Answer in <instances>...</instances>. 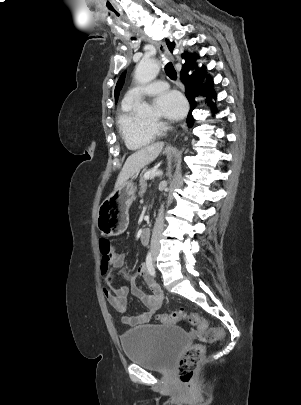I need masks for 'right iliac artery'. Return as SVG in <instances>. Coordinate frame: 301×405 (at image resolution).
<instances>
[{
    "instance_id": "1",
    "label": "right iliac artery",
    "mask_w": 301,
    "mask_h": 405,
    "mask_svg": "<svg viewBox=\"0 0 301 405\" xmlns=\"http://www.w3.org/2000/svg\"><path fill=\"white\" fill-rule=\"evenodd\" d=\"M146 266H147V268H148L149 273H150L152 276H155V269H154V267H153L152 256H151V253H150V252L147 254V257H146Z\"/></svg>"
}]
</instances>
